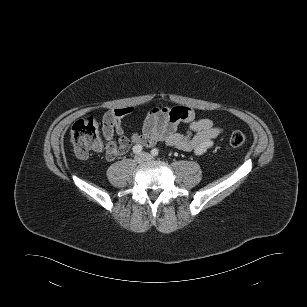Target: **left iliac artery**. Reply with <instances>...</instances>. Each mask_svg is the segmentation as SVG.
I'll list each match as a JSON object with an SVG mask.
<instances>
[{"mask_svg": "<svg viewBox=\"0 0 307 307\" xmlns=\"http://www.w3.org/2000/svg\"><path fill=\"white\" fill-rule=\"evenodd\" d=\"M151 154H152L153 156H158V154H159L158 149H156V148L152 149V150H151Z\"/></svg>", "mask_w": 307, "mask_h": 307, "instance_id": "44dca946", "label": "left iliac artery"}]
</instances>
